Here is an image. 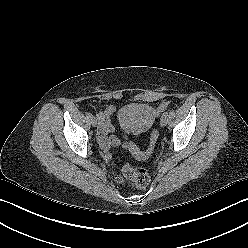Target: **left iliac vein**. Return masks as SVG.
I'll return each mask as SVG.
<instances>
[{
  "mask_svg": "<svg viewBox=\"0 0 248 248\" xmlns=\"http://www.w3.org/2000/svg\"><path fill=\"white\" fill-rule=\"evenodd\" d=\"M167 116L162 115L160 118V125L163 127L167 124Z\"/></svg>",
  "mask_w": 248,
  "mask_h": 248,
  "instance_id": "left-iliac-vein-1",
  "label": "left iliac vein"
}]
</instances>
